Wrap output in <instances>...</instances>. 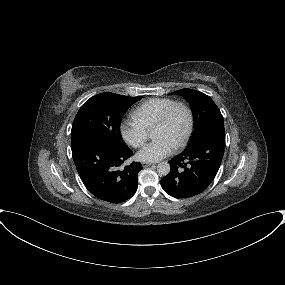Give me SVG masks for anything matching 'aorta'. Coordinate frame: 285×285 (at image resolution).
I'll list each match as a JSON object with an SVG mask.
<instances>
[{
    "mask_svg": "<svg viewBox=\"0 0 285 285\" xmlns=\"http://www.w3.org/2000/svg\"><path fill=\"white\" fill-rule=\"evenodd\" d=\"M170 165L167 162H161L157 166V171L160 175L166 176L170 172Z\"/></svg>",
    "mask_w": 285,
    "mask_h": 285,
    "instance_id": "aorta-1",
    "label": "aorta"
}]
</instances>
